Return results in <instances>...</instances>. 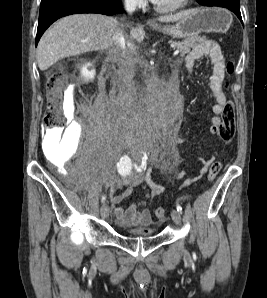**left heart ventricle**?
<instances>
[{
	"label": "left heart ventricle",
	"instance_id": "obj_1",
	"mask_svg": "<svg viewBox=\"0 0 267 298\" xmlns=\"http://www.w3.org/2000/svg\"><path fill=\"white\" fill-rule=\"evenodd\" d=\"M180 0H157L156 4L163 8L174 7Z\"/></svg>",
	"mask_w": 267,
	"mask_h": 298
}]
</instances>
